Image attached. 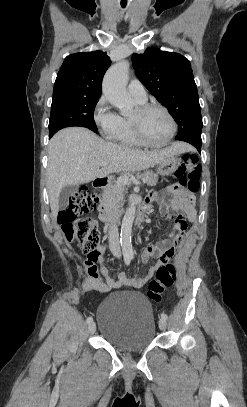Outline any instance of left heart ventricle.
Masks as SVG:
<instances>
[{
  "instance_id": "1",
  "label": "left heart ventricle",
  "mask_w": 247,
  "mask_h": 407,
  "mask_svg": "<svg viewBox=\"0 0 247 407\" xmlns=\"http://www.w3.org/2000/svg\"><path fill=\"white\" fill-rule=\"evenodd\" d=\"M135 110L130 117H136ZM141 130L146 140L151 143H162L170 135L172 126L169 118L158 109L150 110L140 117Z\"/></svg>"
}]
</instances>
